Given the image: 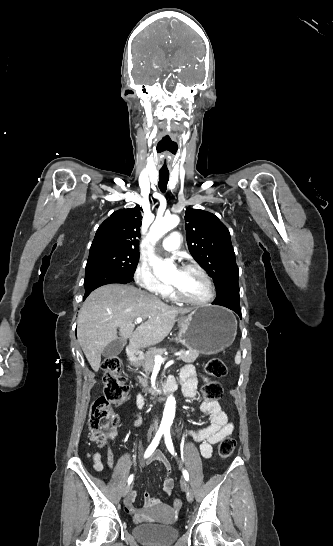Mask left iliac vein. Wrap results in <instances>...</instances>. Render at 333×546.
<instances>
[{
  "instance_id": "obj_1",
  "label": "left iliac vein",
  "mask_w": 333,
  "mask_h": 546,
  "mask_svg": "<svg viewBox=\"0 0 333 546\" xmlns=\"http://www.w3.org/2000/svg\"><path fill=\"white\" fill-rule=\"evenodd\" d=\"M183 490L186 492V497L189 502L193 500V491L187 483H183Z\"/></svg>"
}]
</instances>
